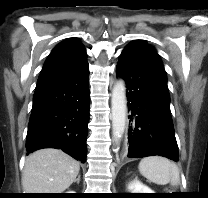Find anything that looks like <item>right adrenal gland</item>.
Here are the masks:
<instances>
[{"instance_id": "obj_1", "label": "right adrenal gland", "mask_w": 208, "mask_h": 198, "mask_svg": "<svg viewBox=\"0 0 208 198\" xmlns=\"http://www.w3.org/2000/svg\"><path fill=\"white\" fill-rule=\"evenodd\" d=\"M75 181L79 184V182H80V175L78 176V178Z\"/></svg>"}]
</instances>
